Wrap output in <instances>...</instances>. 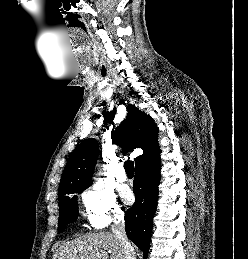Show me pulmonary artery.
<instances>
[{"label":"pulmonary artery","instance_id":"pulmonary-artery-1","mask_svg":"<svg viewBox=\"0 0 248 259\" xmlns=\"http://www.w3.org/2000/svg\"><path fill=\"white\" fill-rule=\"evenodd\" d=\"M116 180L118 182H125L127 180V175L122 165H120L117 169Z\"/></svg>","mask_w":248,"mask_h":259}]
</instances>
